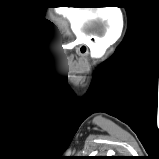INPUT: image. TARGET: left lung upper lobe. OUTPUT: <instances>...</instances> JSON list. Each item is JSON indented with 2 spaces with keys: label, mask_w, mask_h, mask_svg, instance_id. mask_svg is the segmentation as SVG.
<instances>
[{
  "label": "left lung upper lobe",
  "mask_w": 159,
  "mask_h": 159,
  "mask_svg": "<svg viewBox=\"0 0 159 159\" xmlns=\"http://www.w3.org/2000/svg\"><path fill=\"white\" fill-rule=\"evenodd\" d=\"M94 159H109V158H107V157H97V158H94Z\"/></svg>",
  "instance_id": "obj_1"
}]
</instances>
